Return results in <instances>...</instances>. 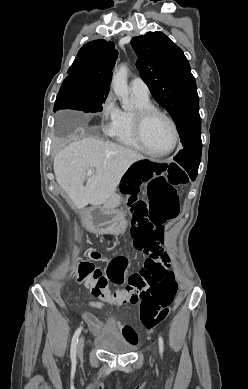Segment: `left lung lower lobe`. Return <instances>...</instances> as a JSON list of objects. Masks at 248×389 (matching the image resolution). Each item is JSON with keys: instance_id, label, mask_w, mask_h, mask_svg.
Listing matches in <instances>:
<instances>
[{"instance_id": "left-lung-lower-lobe-1", "label": "left lung lower lobe", "mask_w": 248, "mask_h": 389, "mask_svg": "<svg viewBox=\"0 0 248 389\" xmlns=\"http://www.w3.org/2000/svg\"><path fill=\"white\" fill-rule=\"evenodd\" d=\"M179 136L193 140L189 145L178 152L174 160L188 173L191 180H195L201 160V118L199 107L188 110L176 124Z\"/></svg>"}]
</instances>
